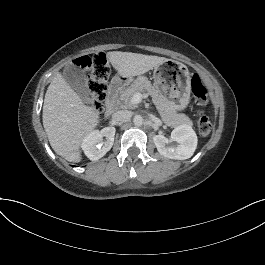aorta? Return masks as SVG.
Segmentation results:
<instances>
[{
	"mask_svg": "<svg viewBox=\"0 0 265 265\" xmlns=\"http://www.w3.org/2000/svg\"><path fill=\"white\" fill-rule=\"evenodd\" d=\"M133 123L135 126H141L143 124V117L141 115H135L133 118Z\"/></svg>",
	"mask_w": 265,
	"mask_h": 265,
	"instance_id": "aorta-1",
	"label": "aorta"
}]
</instances>
